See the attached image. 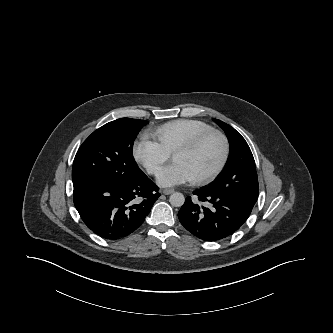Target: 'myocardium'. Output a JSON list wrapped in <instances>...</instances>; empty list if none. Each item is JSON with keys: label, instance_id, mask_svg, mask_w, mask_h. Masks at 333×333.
Returning <instances> with one entry per match:
<instances>
[{"label": "myocardium", "instance_id": "obj_1", "mask_svg": "<svg viewBox=\"0 0 333 333\" xmlns=\"http://www.w3.org/2000/svg\"><path fill=\"white\" fill-rule=\"evenodd\" d=\"M211 137H218L221 139V141L223 143L222 158H221L219 164L217 165V167L211 173H209L205 176L199 177V178H194L193 182L195 184H199V185L208 184V183L214 181L222 173V171L226 167L229 157H230V142H229L228 137L223 132L216 130V129H212L210 131L204 132L202 134H199V135L193 137L186 143L179 146L172 153V158L174 159V157L178 154H184V153H188V152L195 150L197 147H199L202 143H204L207 139H209Z\"/></svg>", "mask_w": 333, "mask_h": 333}]
</instances>
